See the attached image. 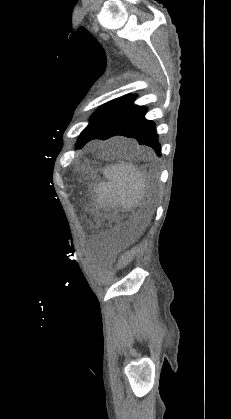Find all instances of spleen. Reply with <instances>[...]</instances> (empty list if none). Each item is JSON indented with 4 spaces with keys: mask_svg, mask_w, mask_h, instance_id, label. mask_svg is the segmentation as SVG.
I'll return each instance as SVG.
<instances>
[{
    "mask_svg": "<svg viewBox=\"0 0 231 419\" xmlns=\"http://www.w3.org/2000/svg\"><path fill=\"white\" fill-rule=\"evenodd\" d=\"M104 175L108 182L96 188L98 203L132 209L141 204L147 192V180L139 168L125 163L107 166Z\"/></svg>",
    "mask_w": 231,
    "mask_h": 419,
    "instance_id": "1",
    "label": "spleen"
}]
</instances>
